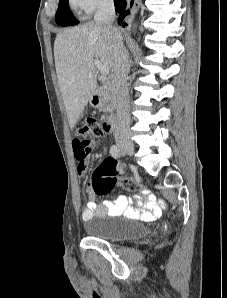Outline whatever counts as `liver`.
Returning a JSON list of instances; mask_svg holds the SVG:
<instances>
[{"mask_svg":"<svg viewBox=\"0 0 227 298\" xmlns=\"http://www.w3.org/2000/svg\"><path fill=\"white\" fill-rule=\"evenodd\" d=\"M114 36L122 37V31L114 27L113 33L107 32L93 21L65 29L56 36L55 68L70 128L76 125L95 91L94 60L112 71Z\"/></svg>","mask_w":227,"mask_h":298,"instance_id":"liver-1","label":"liver"}]
</instances>
